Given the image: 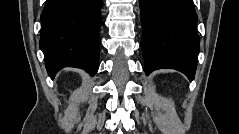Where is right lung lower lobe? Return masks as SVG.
Returning <instances> with one entry per match:
<instances>
[{"label": "right lung lower lobe", "mask_w": 239, "mask_h": 134, "mask_svg": "<svg viewBox=\"0 0 239 134\" xmlns=\"http://www.w3.org/2000/svg\"><path fill=\"white\" fill-rule=\"evenodd\" d=\"M102 0H47L41 14L40 49L51 78L64 67L98 70Z\"/></svg>", "instance_id": "obj_1"}]
</instances>
